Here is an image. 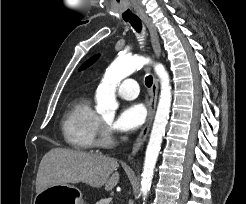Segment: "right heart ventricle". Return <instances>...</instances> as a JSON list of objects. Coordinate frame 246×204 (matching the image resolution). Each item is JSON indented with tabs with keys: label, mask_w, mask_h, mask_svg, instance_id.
I'll list each match as a JSON object with an SVG mask.
<instances>
[{
	"label": "right heart ventricle",
	"mask_w": 246,
	"mask_h": 204,
	"mask_svg": "<svg viewBox=\"0 0 246 204\" xmlns=\"http://www.w3.org/2000/svg\"><path fill=\"white\" fill-rule=\"evenodd\" d=\"M100 116L93 110L86 97L75 99L62 121V133L66 143L76 150H91L98 146Z\"/></svg>",
	"instance_id": "right-heart-ventricle-1"
}]
</instances>
